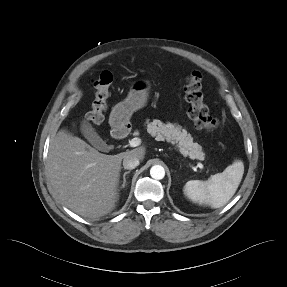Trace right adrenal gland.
<instances>
[{
	"label": "right adrenal gland",
	"instance_id": "right-adrenal-gland-1",
	"mask_svg": "<svg viewBox=\"0 0 287 287\" xmlns=\"http://www.w3.org/2000/svg\"><path fill=\"white\" fill-rule=\"evenodd\" d=\"M129 173H130V171L124 172V174H123V183L121 185V188L125 187V185H126V175L129 174Z\"/></svg>",
	"mask_w": 287,
	"mask_h": 287
}]
</instances>
